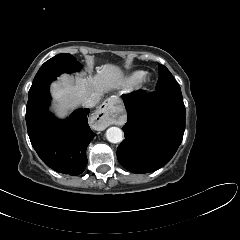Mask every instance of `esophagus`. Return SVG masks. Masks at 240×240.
<instances>
[{"mask_svg": "<svg viewBox=\"0 0 240 240\" xmlns=\"http://www.w3.org/2000/svg\"><path fill=\"white\" fill-rule=\"evenodd\" d=\"M119 103V100L115 97L108 98L103 102L99 109L95 113V118H98V124L106 128L113 124L111 116L114 114L115 105Z\"/></svg>", "mask_w": 240, "mask_h": 240, "instance_id": "obj_1", "label": "esophagus"}]
</instances>
